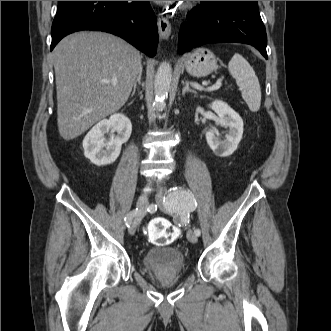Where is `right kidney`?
<instances>
[{"mask_svg":"<svg viewBox=\"0 0 331 331\" xmlns=\"http://www.w3.org/2000/svg\"><path fill=\"white\" fill-rule=\"evenodd\" d=\"M114 128L117 135L106 141L104 135ZM132 132L131 121L123 114H114L97 123L83 140L84 155L93 164L103 166L113 163L119 156L121 146Z\"/></svg>","mask_w":331,"mask_h":331,"instance_id":"ca27d5eb","label":"right kidney"}]
</instances>
